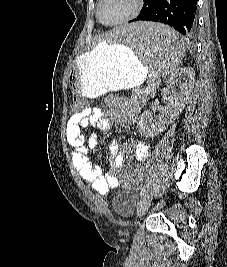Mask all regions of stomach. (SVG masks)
<instances>
[{
  "label": "stomach",
  "instance_id": "0dacf381",
  "mask_svg": "<svg viewBox=\"0 0 227 267\" xmlns=\"http://www.w3.org/2000/svg\"><path fill=\"white\" fill-rule=\"evenodd\" d=\"M107 42L109 47L98 44L76 58L69 73L70 82H66L71 92L94 98L108 91L135 87L143 81L151 63L137 59L133 47Z\"/></svg>",
  "mask_w": 227,
  "mask_h": 267
}]
</instances>
